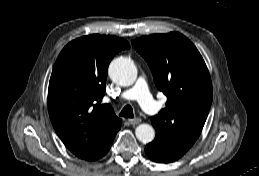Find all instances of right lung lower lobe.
Here are the masks:
<instances>
[{
    "instance_id": "98d812e1",
    "label": "right lung lower lobe",
    "mask_w": 259,
    "mask_h": 176,
    "mask_svg": "<svg viewBox=\"0 0 259 176\" xmlns=\"http://www.w3.org/2000/svg\"><path fill=\"white\" fill-rule=\"evenodd\" d=\"M113 140L114 138H112L108 143H106L96 154L88 158L87 161H93L103 157L109 151Z\"/></svg>"
}]
</instances>
